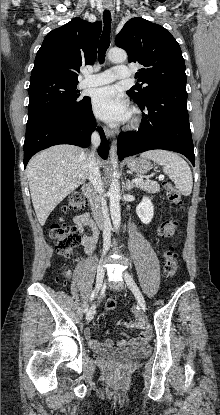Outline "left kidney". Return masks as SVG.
Here are the masks:
<instances>
[{"label": "left kidney", "mask_w": 220, "mask_h": 415, "mask_svg": "<svg viewBox=\"0 0 220 415\" xmlns=\"http://www.w3.org/2000/svg\"><path fill=\"white\" fill-rule=\"evenodd\" d=\"M136 212L140 220L148 224L154 215V206L148 197H143L141 203L137 206Z\"/></svg>", "instance_id": "5707ae66"}]
</instances>
